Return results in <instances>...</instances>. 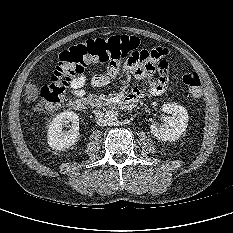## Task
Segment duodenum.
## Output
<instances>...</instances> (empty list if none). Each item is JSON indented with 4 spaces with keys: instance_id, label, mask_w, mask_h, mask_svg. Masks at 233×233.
Segmentation results:
<instances>
[{
    "instance_id": "obj_1",
    "label": "duodenum",
    "mask_w": 233,
    "mask_h": 233,
    "mask_svg": "<svg viewBox=\"0 0 233 233\" xmlns=\"http://www.w3.org/2000/svg\"><path fill=\"white\" fill-rule=\"evenodd\" d=\"M139 101V98L135 95L129 94L121 102L120 105L126 110L133 109ZM70 106L75 111H82L85 108V104L81 99H74L70 102Z\"/></svg>"
}]
</instances>
